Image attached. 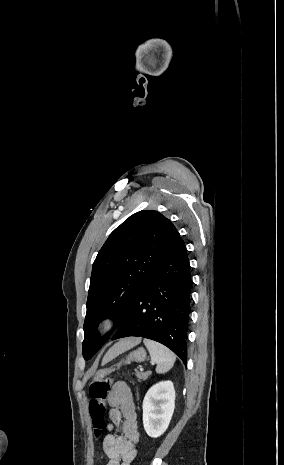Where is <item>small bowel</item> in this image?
<instances>
[{"label": "small bowel", "instance_id": "1", "mask_svg": "<svg viewBox=\"0 0 284 465\" xmlns=\"http://www.w3.org/2000/svg\"><path fill=\"white\" fill-rule=\"evenodd\" d=\"M109 433L103 439L107 465H130L137 456L139 441L137 410L133 393L123 381L116 382L108 396ZM121 425L122 434L115 430Z\"/></svg>", "mask_w": 284, "mask_h": 465}]
</instances>
